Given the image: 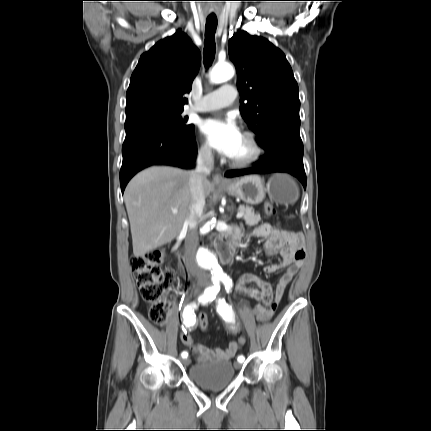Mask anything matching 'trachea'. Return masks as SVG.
Instances as JSON below:
<instances>
[{
	"mask_svg": "<svg viewBox=\"0 0 431 431\" xmlns=\"http://www.w3.org/2000/svg\"><path fill=\"white\" fill-rule=\"evenodd\" d=\"M217 28V19L215 17H208L205 26V40H204V64L209 67L215 57V32Z\"/></svg>",
	"mask_w": 431,
	"mask_h": 431,
	"instance_id": "obj_1",
	"label": "trachea"
}]
</instances>
